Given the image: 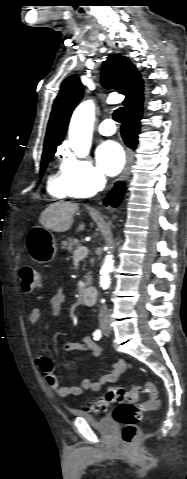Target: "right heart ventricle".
<instances>
[{
    "mask_svg": "<svg viewBox=\"0 0 187 479\" xmlns=\"http://www.w3.org/2000/svg\"><path fill=\"white\" fill-rule=\"evenodd\" d=\"M47 190L53 197L63 199L71 196L61 174H52L47 181Z\"/></svg>",
    "mask_w": 187,
    "mask_h": 479,
    "instance_id": "1",
    "label": "right heart ventricle"
}]
</instances>
